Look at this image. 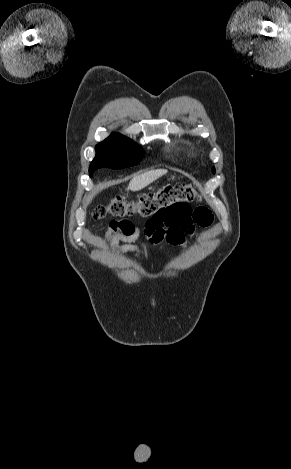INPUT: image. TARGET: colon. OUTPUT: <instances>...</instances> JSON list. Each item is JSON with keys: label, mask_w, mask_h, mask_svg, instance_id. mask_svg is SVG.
<instances>
[{"label": "colon", "mask_w": 291, "mask_h": 469, "mask_svg": "<svg viewBox=\"0 0 291 469\" xmlns=\"http://www.w3.org/2000/svg\"><path fill=\"white\" fill-rule=\"evenodd\" d=\"M198 199L194 188L186 184L167 185L162 189L141 195L137 200H127L124 197H116L107 205L97 206L93 210L95 219L112 217L139 216L154 218L162 212L170 209L186 207L184 203ZM200 217L206 216L209 211L203 207L195 210Z\"/></svg>", "instance_id": "colon-1"}]
</instances>
